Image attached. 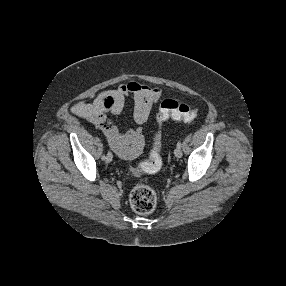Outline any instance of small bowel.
<instances>
[{
    "label": "small bowel",
    "instance_id": "obj_1",
    "mask_svg": "<svg viewBox=\"0 0 286 286\" xmlns=\"http://www.w3.org/2000/svg\"><path fill=\"white\" fill-rule=\"evenodd\" d=\"M129 97L134 102L133 118L137 126L120 132L110 115H120L124 109L125 101ZM161 97V88L130 80L103 92L93 102H76L72 106V112L93 123L104 134L110 148L118 156L132 159L142 151L144 145L143 126L147 122L153 106Z\"/></svg>",
    "mask_w": 286,
    "mask_h": 286
}]
</instances>
